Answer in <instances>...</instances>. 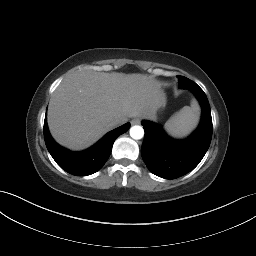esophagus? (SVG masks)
I'll return each instance as SVG.
<instances>
[{
    "label": "esophagus",
    "mask_w": 256,
    "mask_h": 256,
    "mask_svg": "<svg viewBox=\"0 0 256 256\" xmlns=\"http://www.w3.org/2000/svg\"><path fill=\"white\" fill-rule=\"evenodd\" d=\"M141 121V119L139 117H136L134 119L131 120V124L132 125H136V124H139Z\"/></svg>",
    "instance_id": "esophagus-1"
}]
</instances>
